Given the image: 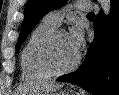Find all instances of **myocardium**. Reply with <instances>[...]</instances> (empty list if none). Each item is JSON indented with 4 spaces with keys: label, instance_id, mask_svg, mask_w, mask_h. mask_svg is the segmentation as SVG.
<instances>
[{
    "label": "myocardium",
    "instance_id": "obj_1",
    "mask_svg": "<svg viewBox=\"0 0 119 95\" xmlns=\"http://www.w3.org/2000/svg\"><path fill=\"white\" fill-rule=\"evenodd\" d=\"M62 32L66 31L64 29H55L46 37L40 48L39 52L40 64L50 76H60L72 72L78 67L81 60V55L80 53H78L74 62L68 67L57 68L54 65L52 60V49L57 36Z\"/></svg>",
    "mask_w": 119,
    "mask_h": 95
}]
</instances>
